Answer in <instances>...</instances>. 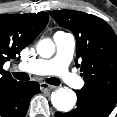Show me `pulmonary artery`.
Returning <instances> with one entry per match:
<instances>
[{"label": "pulmonary artery", "instance_id": "1", "mask_svg": "<svg viewBox=\"0 0 117 117\" xmlns=\"http://www.w3.org/2000/svg\"><path fill=\"white\" fill-rule=\"evenodd\" d=\"M53 39L56 46L54 57L20 63L19 69L37 75H55L70 87L80 88L83 84L82 79L68 69L76 46L74 35L58 31Z\"/></svg>", "mask_w": 117, "mask_h": 117}]
</instances>
